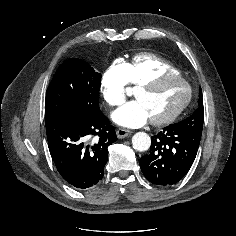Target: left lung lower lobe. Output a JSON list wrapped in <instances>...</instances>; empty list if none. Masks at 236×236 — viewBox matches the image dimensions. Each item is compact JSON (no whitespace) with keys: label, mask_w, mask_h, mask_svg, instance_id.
Here are the masks:
<instances>
[{"label":"left lung lower lobe","mask_w":236,"mask_h":236,"mask_svg":"<svg viewBox=\"0 0 236 236\" xmlns=\"http://www.w3.org/2000/svg\"><path fill=\"white\" fill-rule=\"evenodd\" d=\"M201 133L169 125L151 138L150 154L140 159L145 178L154 185L179 182L191 168Z\"/></svg>","instance_id":"left-lung-lower-lobe-1"}]
</instances>
